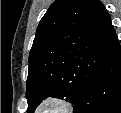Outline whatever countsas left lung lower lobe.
<instances>
[{
  "label": "left lung lower lobe",
  "mask_w": 121,
  "mask_h": 113,
  "mask_svg": "<svg viewBox=\"0 0 121 113\" xmlns=\"http://www.w3.org/2000/svg\"><path fill=\"white\" fill-rule=\"evenodd\" d=\"M74 113H121V48L118 39L107 60L78 97Z\"/></svg>",
  "instance_id": "obj_1"
}]
</instances>
